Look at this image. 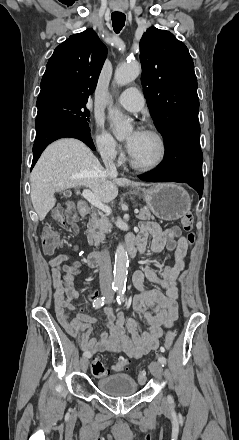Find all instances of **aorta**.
<instances>
[{"label":"aorta","mask_w":239,"mask_h":440,"mask_svg":"<svg viewBox=\"0 0 239 440\" xmlns=\"http://www.w3.org/2000/svg\"><path fill=\"white\" fill-rule=\"evenodd\" d=\"M140 72L141 68L138 64H122V66H118L115 70L114 82L117 86H127V84L134 82L138 78ZM108 116L113 124V134L117 140H125L126 136L133 132L130 124L131 120L123 116L122 112L117 110V108H109ZM128 268L129 260L124 244H118L113 270V284L118 290H123L127 282Z\"/></svg>","instance_id":"762f6f07"}]
</instances>
